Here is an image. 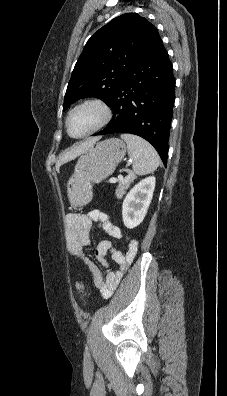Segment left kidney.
<instances>
[{
  "instance_id": "obj_1",
  "label": "left kidney",
  "mask_w": 227,
  "mask_h": 396,
  "mask_svg": "<svg viewBox=\"0 0 227 396\" xmlns=\"http://www.w3.org/2000/svg\"><path fill=\"white\" fill-rule=\"evenodd\" d=\"M155 182V177L149 176L126 195L122 205V218L127 228L133 229L143 221L152 200Z\"/></svg>"
}]
</instances>
